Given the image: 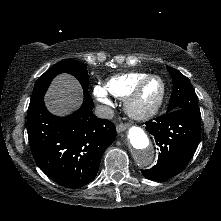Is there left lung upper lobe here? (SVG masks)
Returning a JSON list of instances; mask_svg holds the SVG:
<instances>
[{
  "mask_svg": "<svg viewBox=\"0 0 221 221\" xmlns=\"http://www.w3.org/2000/svg\"><path fill=\"white\" fill-rule=\"evenodd\" d=\"M166 67L173 80V88L167 112L184 109L197 117H201L198 97L189 79L178 70L169 66Z\"/></svg>",
  "mask_w": 221,
  "mask_h": 221,
  "instance_id": "5c2ea615",
  "label": "left lung upper lobe"
}]
</instances>
